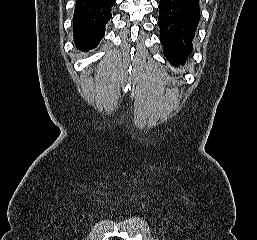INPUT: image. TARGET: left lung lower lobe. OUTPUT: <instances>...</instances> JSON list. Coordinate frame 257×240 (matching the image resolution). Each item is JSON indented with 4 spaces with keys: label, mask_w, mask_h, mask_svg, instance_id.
Segmentation results:
<instances>
[{
    "label": "left lung lower lobe",
    "mask_w": 257,
    "mask_h": 240,
    "mask_svg": "<svg viewBox=\"0 0 257 240\" xmlns=\"http://www.w3.org/2000/svg\"><path fill=\"white\" fill-rule=\"evenodd\" d=\"M199 20V0H159L160 41L173 66L183 64L192 52Z\"/></svg>",
    "instance_id": "1"
}]
</instances>
